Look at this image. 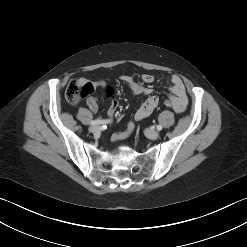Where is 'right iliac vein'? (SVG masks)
I'll list each match as a JSON object with an SVG mask.
<instances>
[{
    "label": "right iliac vein",
    "mask_w": 247,
    "mask_h": 247,
    "mask_svg": "<svg viewBox=\"0 0 247 247\" xmlns=\"http://www.w3.org/2000/svg\"><path fill=\"white\" fill-rule=\"evenodd\" d=\"M100 126H98V125H93V126H90V128H89V131L91 132V133H97V132H99L100 131Z\"/></svg>",
    "instance_id": "obj_1"
}]
</instances>
